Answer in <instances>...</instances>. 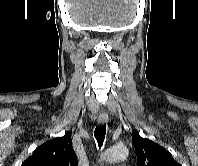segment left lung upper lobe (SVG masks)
Returning a JSON list of instances; mask_svg holds the SVG:
<instances>
[{"label":"left lung upper lobe","mask_w":198,"mask_h":166,"mask_svg":"<svg viewBox=\"0 0 198 166\" xmlns=\"http://www.w3.org/2000/svg\"><path fill=\"white\" fill-rule=\"evenodd\" d=\"M132 144L137 153V166H181L164 147L142 138L138 132L132 134Z\"/></svg>","instance_id":"5c2ea615"}]
</instances>
